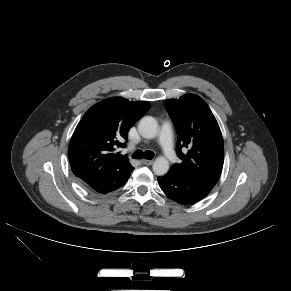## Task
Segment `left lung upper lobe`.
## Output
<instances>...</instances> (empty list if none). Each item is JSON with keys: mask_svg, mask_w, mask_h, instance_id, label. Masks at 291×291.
I'll list each match as a JSON object with an SVG mask.
<instances>
[{"mask_svg": "<svg viewBox=\"0 0 291 291\" xmlns=\"http://www.w3.org/2000/svg\"><path fill=\"white\" fill-rule=\"evenodd\" d=\"M165 106L178 131L177 154L182 160L171 170L215 186L223 167L224 144L208 105L201 97L186 94L166 100Z\"/></svg>", "mask_w": 291, "mask_h": 291, "instance_id": "left-lung-upper-lobe-1", "label": "left lung upper lobe"}]
</instances>
